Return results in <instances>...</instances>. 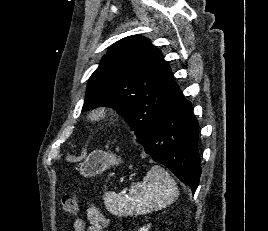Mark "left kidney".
Segmentation results:
<instances>
[{"instance_id": "obj_1", "label": "left kidney", "mask_w": 268, "mask_h": 231, "mask_svg": "<svg viewBox=\"0 0 268 231\" xmlns=\"http://www.w3.org/2000/svg\"><path fill=\"white\" fill-rule=\"evenodd\" d=\"M151 228V224H148L147 226H143L138 231H148Z\"/></svg>"}]
</instances>
